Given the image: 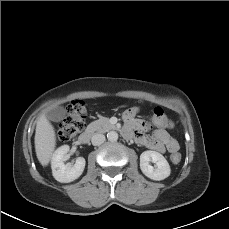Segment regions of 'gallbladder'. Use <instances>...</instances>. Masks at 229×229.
I'll return each instance as SVG.
<instances>
[{"mask_svg": "<svg viewBox=\"0 0 229 229\" xmlns=\"http://www.w3.org/2000/svg\"><path fill=\"white\" fill-rule=\"evenodd\" d=\"M66 116V109L63 106H56L48 112V118L52 121H61Z\"/></svg>", "mask_w": 229, "mask_h": 229, "instance_id": "1", "label": "gallbladder"}]
</instances>
